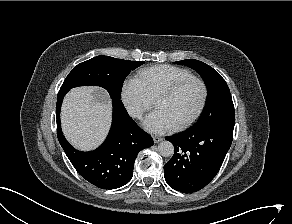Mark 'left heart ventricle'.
Here are the masks:
<instances>
[{
    "mask_svg": "<svg viewBox=\"0 0 292 224\" xmlns=\"http://www.w3.org/2000/svg\"><path fill=\"white\" fill-rule=\"evenodd\" d=\"M202 98V89L198 83H190L170 98L157 102L156 107L163 110L174 126L185 122L197 110Z\"/></svg>",
    "mask_w": 292,
    "mask_h": 224,
    "instance_id": "1",
    "label": "left heart ventricle"
}]
</instances>
